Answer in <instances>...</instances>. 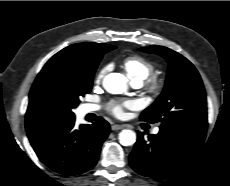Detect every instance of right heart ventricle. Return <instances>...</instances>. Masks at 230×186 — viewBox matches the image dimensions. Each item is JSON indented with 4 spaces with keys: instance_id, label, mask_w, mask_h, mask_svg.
Returning <instances> with one entry per match:
<instances>
[{
    "instance_id": "e07e8e85",
    "label": "right heart ventricle",
    "mask_w": 230,
    "mask_h": 186,
    "mask_svg": "<svg viewBox=\"0 0 230 186\" xmlns=\"http://www.w3.org/2000/svg\"><path fill=\"white\" fill-rule=\"evenodd\" d=\"M122 65L131 82L143 83L154 70V66L149 60L137 54L124 58Z\"/></svg>"
}]
</instances>
